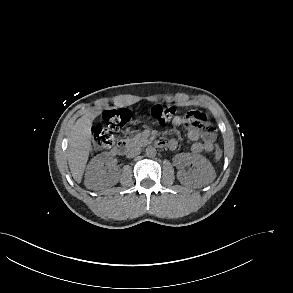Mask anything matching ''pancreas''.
I'll list each match as a JSON object with an SVG mask.
<instances>
[{
    "label": "pancreas",
    "instance_id": "cf45deb5",
    "mask_svg": "<svg viewBox=\"0 0 293 293\" xmlns=\"http://www.w3.org/2000/svg\"><path fill=\"white\" fill-rule=\"evenodd\" d=\"M127 142L134 146H143L149 143L147 134L145 133H138L135 136L127 139Z\"/></svg>",
    "mask_w": 293,
    "mask_h": 293
}]
</instances>
